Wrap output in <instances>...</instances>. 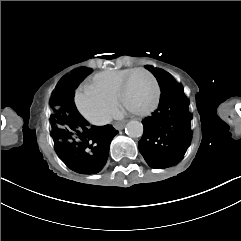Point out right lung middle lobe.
<instances>
[{"mask_svg": "<svg viewBox=\"0 0 241 241\" xmlns=\"http://www.w3.org/2000/svg\"><path fill=\"white\" fill-rule=\"evenodd\" d=\"M92 71L91 69H89ZM73 97L67 90L65 78L57 85L55 93L50 100V124L53 140H71L74 137V130L69 120V115L65 107V100Z\"/></svg>", "mask_w": 241, "mask_h": 241, "instance_id": "dd1d6c3e", "label": "right lung middle lobe"}]
</instances>
